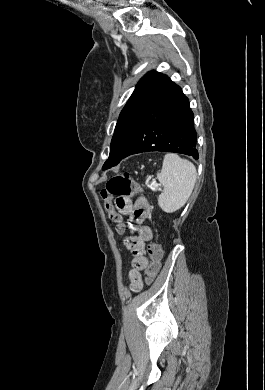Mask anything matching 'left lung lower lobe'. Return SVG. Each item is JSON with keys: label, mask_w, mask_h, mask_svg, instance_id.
<instances>
[{"label": "left lung lower lobe", "mask_w": 265, "mask_h": 390, "mask_svg": "<svg viewBox=\"0 0 265 390\" xmlns=\"http://www.w3.org/2000/svg\"><path fill=\"white\" fill-rule=\"evenodd\" d=\"M196 143L188 98L178 85L167 78L143 109L134 137L122 159L150 151L180 153L198 159Z\"/></svg>", "instance_id": "1"}]
</instances>
